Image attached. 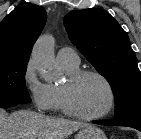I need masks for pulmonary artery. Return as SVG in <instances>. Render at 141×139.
Segmentation results:
<instances>
[{"label":"pulmonary artery","mask_w":141,"mask_h":139,"mask_svg":"<svg viewBox=\"0 0 141 139\" xmlns=\"http://www.w3.org/2000/svg\"><path fill=\"white\" fill-rule=\"evenodd\" d=\"M56 60L60 65L77 66L79 65V56L77 52L70 47H63L57 52Z\"/></svg>","instance_id":"1"}]
</instances>
